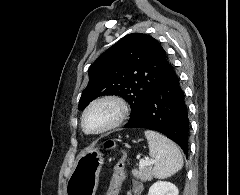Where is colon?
<instances>
[{
  "mask_svg": "<svg viewBox=\"0 0 240 195\" xmlns=\"http://www.w3.org/2000/svg\"><path fill=\"white\" fill-rule=\"evenodd\" d=\"M112 146V142L108 143V147ZM116 152L120 154V161L116 165L113 173L110 175V183L111 187L107 189V192L109 195H117L119 188H120V182L124 179V171L122 168L125 166V163L127 162L128 159V154L123 151L121 147H118L116 149Z\"/></svg>",
  "mask_w": 240,
  "mask_h": 195,
  "instance_id": "5ec220e1",
  "label": "colon"
}]
</instances>
